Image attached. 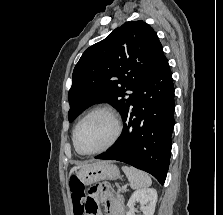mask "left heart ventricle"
Instances as JSON below:
<instances>
[{
  "label": "left heart ventricle",
  "mask_w": 223,
  "mask_h": 215,
  "mask_svg": "<svg viewBox=\"0 0 223 215\" xmlns=\"http://www.w3.org/2000/svg\"><path fill=\"white\" fill-rule=\"evenodd\" d=\"M114 133V124L105 114H95L78 128L76 145L81 152H93L105 146Z\"/></svg>",
  "instance_id": "left-heart-ventricle-1"
}]
</instances>
